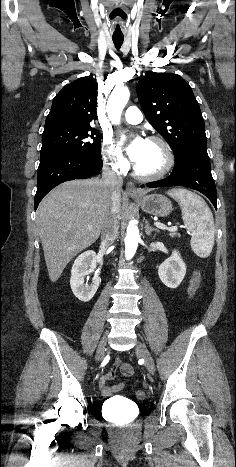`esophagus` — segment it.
<instances>
[{
    "mask_svg": "<svg viewBox=\"0 0 236 467\" xmlns=\"http://www.w3.org/2000/svg\"><path fill=\"white\" fill-rule=\"evenodd\" d=\"M126 192L129 195H134V196H139L141 195V192L136 188L134 183L132 182H127L126 184Z\"/></svg>",
    "mask_w": 236,
    "mask_h": 467,
    "instance_id": "1",
    "label": "esophagus"
}]
</instances>
